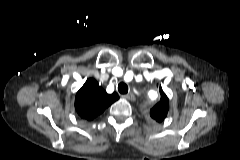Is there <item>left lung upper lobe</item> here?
I'll return each instance as SVG.
<instances>
[{
    "label": "left lung upper lobe",
    "mask_w": 240,
    "mask_h": 160,
    "mask_svg": "<svg viewBox=\"0 0 240 160\" xmlns=\"http://www.w3.org/2000/svg\"><path fill=\"white\" fill-rule=\"evenodd\" d=\"M160 93H161L160 101L150 110V116L157 122H162L169 110V100L166 94L163 92L161 86Z\"/></svg>",
    "instance_id": "5c2ea615"
}]
</instances>
